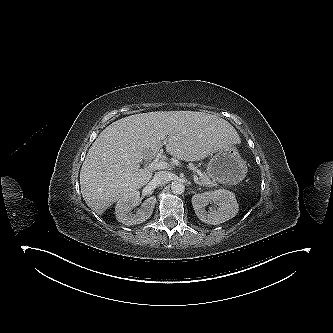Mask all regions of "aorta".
Segmentation results:
<instances>
[{"label": "aorta", "instance_id": "aorta-1", "mask_svg": "<svg viewBox=\"0 0 333 333\" xmlns=\"http://www.w3.org/2000/svg\"><path fill=\"white\" fill-rule=\"evenodd\" d=\"M171 190L174 194H182L185 191V186L181 182H174L171 185Z\"/></svg>", "mask_w": 333, "mask_h": 333}]
</instances>
